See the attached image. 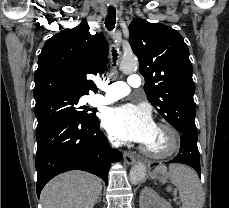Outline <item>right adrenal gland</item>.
I'll list each match as a JSON object with an SVG mask.
<instances>
[{"label":"right adrenal gland","instance_id":"right-adrenal-gland-1","mask_svg":"<svg viewBox=\"0 0 229 208\" xmlns=\"http://www.w3.org/2000/svg\"><path fill=\"white\" fill-rule=\"evenodd\" d=\"M97 202H101V196H100V198H98ZM97 202H96V204H97Z\"/></svg>","mask_w":229,"mask_h":208}]
</instances>
